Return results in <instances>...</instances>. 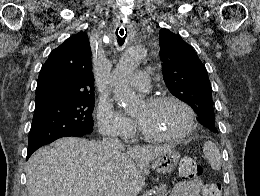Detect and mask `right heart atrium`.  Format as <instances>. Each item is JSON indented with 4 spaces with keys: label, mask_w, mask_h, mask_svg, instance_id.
<instances>
[{
    "label": "right heart atrium",
    "mask_w": 260,
    "mask_h": 196,
    "mask_svg": "<svg viewBox=\"0 0 260 196\" xmlns=\"http://www.w3.org/2000/svg\"><path fill=\"white\" fill-rule=\"evenodd\" d=\"M97 122L101 133L110 134L116 130H131L134 122L117 109L112 102H104L97 109ZM109 143V142H95Z\"/></svg>",
    "instance_id": "1"
}]
</instances>
